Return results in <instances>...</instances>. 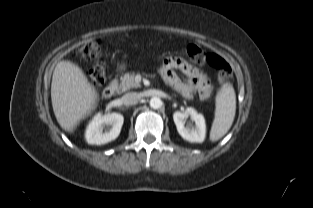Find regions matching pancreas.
I'll return each instance as SVG.
<instances>
[{
  "instance_id": "pancreas-1",
  "label": "pancreas",
  "mask_w": 313,
  "mask_h": 208,
  "mask_svg": "<svg viewBox=\"0 0 313 208\" xmlns=\"http://www.w3.org/2000/svg\"><path fill=\"white\" fill-rule=\"evenodd\" d=\"M140 87V83L135 81V73H125L121 78V83L117 88V93H123L131 88Z\"/></svg>"
}]
</instances>
